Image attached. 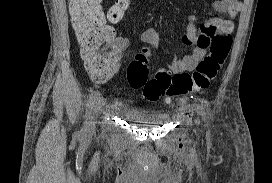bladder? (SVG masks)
<instances>
[{"label": "bladder", "instance_id": "31cf9c89", "mask_svg": "<svg viewBox=\"0 0 272 183\" xmlns=\"http://www.w3.org/2000/svg\"><path fill=\"white\" fill-rule=\"evenodd\" d=\"M126 116H132L130 113H125ZM134 124L141 127H153L163 124L166 119L164 117L139 116L131 118Z\"/></svg>", "mask_w": 272, "mask_h": 183}]
</instances>
